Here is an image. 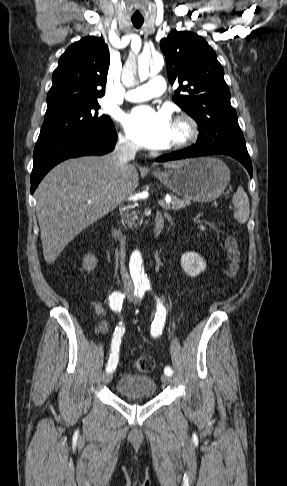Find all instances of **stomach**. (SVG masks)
<instances>
[{
    "label": "stomach",
    "mask_w": 287,
    "mask_h": 486,
    "mask_svg": "<svg viewBox=\"0 0 287 486\" xmlns=\"http://www.w3.org/2000/svg\"><path fill=\"white\" fill-rule=\"evenodd\" d=\"M167 188L183 199L210 202L222 195L230 181V170L214 157L190 158L165 171L153 172Z\"/></svg>",
    "instance_id": "obj_1"
}]
</instances>
